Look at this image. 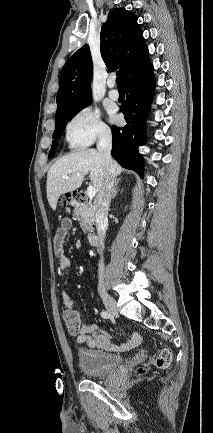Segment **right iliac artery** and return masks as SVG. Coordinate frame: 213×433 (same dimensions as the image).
Here are the masks:
<instances>
[{"label":"right iliac artery","mask_w":213,"mask_h":433,"mask_svg":"<svg viewBox=\"0 0 213 433\" xmlns=\"http://www.w3.org/2000/svg\"><path fill=\"white\" fill-rule=\"evenodd\" d=\"M101 317H103L104 319H107V318L110 317V314H109L108 311L103 310V311L101 312Z\"/></svg>","instance_id":"1"}]
</instances>
